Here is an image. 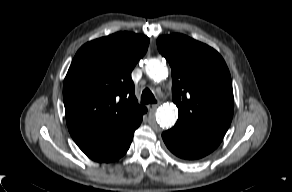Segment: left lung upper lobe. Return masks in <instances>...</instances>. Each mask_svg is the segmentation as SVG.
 <instances>
[{"label":"left lung upper lobe","mask_w":292,"mask_h":192,"mask_svg":"<svg viewBox=\"0 0 292 192\" xmlns=\"http://www.w3.org/2000/svg\"><path fill=\"white\" fill-rule=\"evenodd\" d=\"M172 68L173 102L179 110L175 128L223 139L233 117L229 70L210 46L182 34L157 39Z\"/></svg>","instance_id":"obj_1"}]
</instances>
